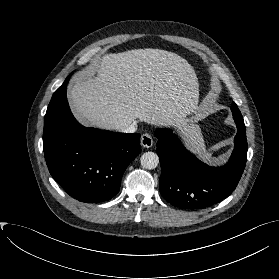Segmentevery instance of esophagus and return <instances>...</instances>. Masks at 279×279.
I'll return each mask as SVG.
<instances>
[{
	"mask_svg": "<svg viewBox=\"0 0 279 279\" xmlns=\"http://www.w3.org/2000/svg\"><path fill=\"white\" fill-rule=\"evenodd\" d=\"M153 138L151 137L150 134L148 133H144L141 136V146H143L144 148H150L153 146Z\"/></svg>",
	"mask_w": 279,
	"mask_h": 279,
	"instance_id": "1",
	"label": "esophagus"
}]
</instances>
